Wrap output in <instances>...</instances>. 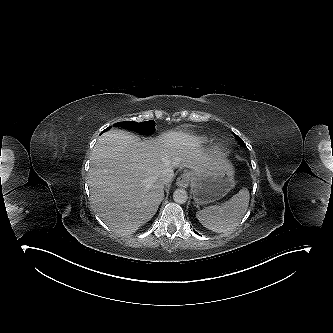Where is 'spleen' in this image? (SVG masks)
Returning a JSON list of instances; mask_svg holds the SVG:
<instances>
[{
    "label": "spleen",
    "instance_id": "obj_1",
    "mask_svg": "<svg viewBox=\"0 0 333 333\" xmlns=\"http://www.w3.org/2000/svg\"><path fill=\"white\" fill-rule=\"evenodd\" d=\"M248 205L249 191L243 188L220 206H208L197 211L196 217L204 227L213 232H230L239 225Z\"/></svg>",
    "mask_w": 333,
    "mask_h": 333
}]
</instances>
